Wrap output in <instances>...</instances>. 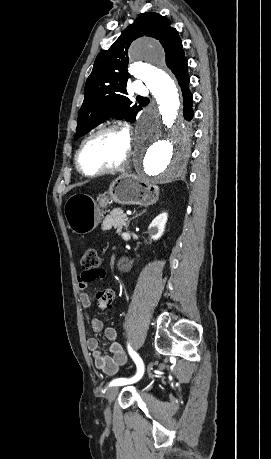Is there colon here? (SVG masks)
Listing matches in <instances>:
<instances>
[{"mask_svg": "<svg viewBox=\"0 0 271 459\" xmlns=\"http://www.w3.org/2000/svg\"><path fill=\"white\" fill-rule=\"evenodd\" d=\"M100 257L94 248H87L81 257V268L86 271H93L100 267ZM114 299V292L111 289H104L96 294V306L100 311L107 310L111 307Z\"/></svg>", "mask_w": 271, "mask_h": 459, "instance_id": "5ec220e1", "label": "colon"}]
</instances>
